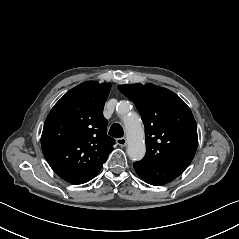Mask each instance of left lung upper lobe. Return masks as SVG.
<instances>
[{"instance_id": "5c2ea615", "label": "left lung upper lobe", "mask_w": 239, "mask_h": 239, "mask_svg": "<svg viewBox=\"0 0 239 239\" xmlns=\"http://www.w3.org/2000/svg\"><path fill=\"white\" fill-rule=\"evenodd\" d=\"M136 105L145 126L148 165L187 167L197 146V125L189 107L172 91L153 84L119 85Z\"/></svg>"}]
</instances>
